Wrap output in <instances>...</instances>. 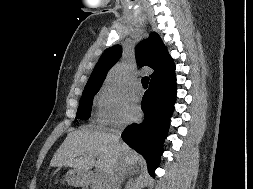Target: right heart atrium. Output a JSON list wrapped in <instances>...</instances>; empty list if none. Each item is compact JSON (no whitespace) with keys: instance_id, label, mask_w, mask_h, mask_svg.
<instances>
[{"instance_id":"d8ad5b80","label":"right heart atrium","mask_w":253,"mask_h":189,"mask_svg":"<svg viewBox=\"0 0 253 189\" xmlns=\"http://www.w3.org/2000/svg\"><path fill=\"white\" fill-rule=\"evenodd\" d=\"M97 122L103 126L117 127L125 122V100L116 91L104 87L95 98Z\"/></svg>"}]
</instances>
